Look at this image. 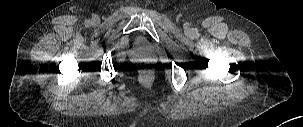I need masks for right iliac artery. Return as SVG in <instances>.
I'll return each instance as SVG.
<instances>
[{"instance_id": "1", "label": "right iliac artery", "mask_w": 303, "mask_h": 127, "mask_svg": "<svg viewBox=\"0 0 303 127\" xmlns=\"http://www.w3.org/2000/svg\"><path fill=\"white\" fill-rule=\"evenodd\" d=\"M86 24H87V25H89V24H90V21H89V20H88V21H86Z\"/></svg>"}]
</instances>
